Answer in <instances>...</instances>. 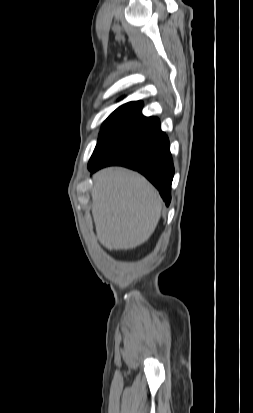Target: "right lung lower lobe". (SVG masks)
<instances>
[{
    "label": "right lung lower lobe",
    "mask_w": 253,
    "mask_h": 413,
    "mask_svg": "<svg viewBox=\"0 0 253 413\" xmlns=\"http://www.w3.org/2000/svg\"><path fill=\"white\" fill-rule=\"evenodd\" d=\"M109 165L125 166L143 174L158 189L165 204L169 206L174 166L168 137L161 131L160 126L88 169L94 173Z\"/></svg>",
    "instance_id": "obj_1"
}]
</instances>
